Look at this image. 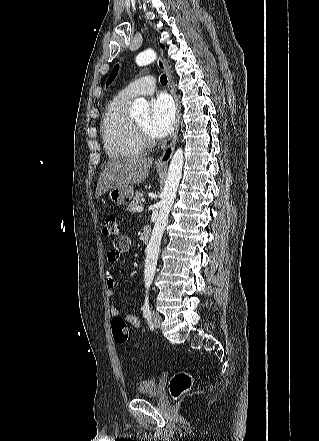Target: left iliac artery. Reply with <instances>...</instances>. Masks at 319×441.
Returning <instances> with one entry per match:
<instances>
[{"label":"left iliac artery","instance_id":"obj_1","mask_svg":"<svg viewBox=\"0 0 319 441\" xmlns=\"http://www.w3.org/2000/svg\"><path fill=\"white\" fill-rule=\"evenodd\" d=\"M150 315H151V311H150L149 297H148V292H147L146 296H145V303L143 306V316L145 319H149Z\"/></svg>","mask_w":319,"mask_h":441}]
</instances>
